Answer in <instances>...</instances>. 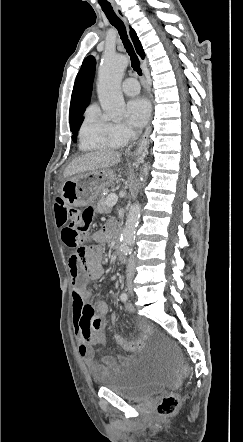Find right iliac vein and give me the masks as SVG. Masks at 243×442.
<instances>
[{
	"label": "right iliac vein",
	"instance_id": "right-iliac-vein-1",
	"mask_svg": "<svg viewBox=\"0 0 243 442\" xmlns=\"http://www.w3.org/2000/svg\"><path fill=\"white\" fill-rule=\"evenodd\" d=\"M132 289H133V286H132V284H129V285H128V291H129V292H131V291H132Z\"/></svg>",
	"mask_w": 243,
	"mask_h": 442
}]
</instances>
